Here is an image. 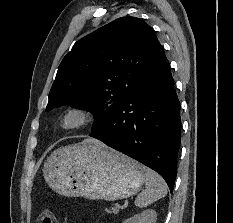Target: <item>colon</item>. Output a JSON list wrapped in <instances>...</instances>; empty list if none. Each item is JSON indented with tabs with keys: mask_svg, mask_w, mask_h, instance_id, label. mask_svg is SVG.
<instances>
[{
	"mask_svg": "<svg viewBox=\"0 0 233 223\" xmlns=\"http://www.w3.org/2000/svg\"><path fill=\"white\" fill-rule=\"evenodd\" d=\"M38 223H59V220L51 211L46 210L41 214Z\"/></svg>",
	"mask_w": 233,
	"mask_h": 223,
	"instance_id": "5ec220e1",
	"label": "colon"
}]
</instances>
